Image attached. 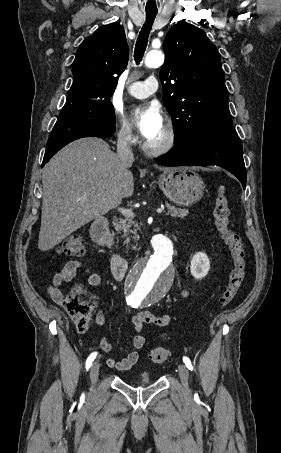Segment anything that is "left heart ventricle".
Listing matches in <instances>:
<instances>
[{
	"label": "left heart ventricle",
	"instance_id": "b2bd125f",
	"mask_svg": "<svg viewBox=\"0 0 281 453\" xmlns=\"http://www.w3.org/2000/svg\"><path fill=\"white\" fill-rule=\"evenodd\" d=\"M147 140L153 144L164 143L166 141V132L164 125L158 131H156L154 134L148 137Z\"/></svg>",
	"mask_w": 281,
	"mask_h": 453
}]
</instances>
